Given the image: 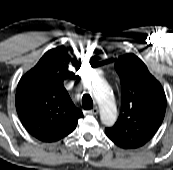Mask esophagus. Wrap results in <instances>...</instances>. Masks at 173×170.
<instances>
[{"label":"esophagus","instance_id":"esophagus-1","mask_svg":"<svg viewBox=\"0 0 173 170\" xmlns=\"http://www.w3.org/2000/svg\"><path fill=\"white\" fill-rule=\"evenodd\" d=\"M98 112H99V110H98L97 107H95V108H93L91 110H85L84 111L85 114H91V115H96V114H98Z\"/></svg>","mask_w":173,"mask_h":170}]
</instances>
